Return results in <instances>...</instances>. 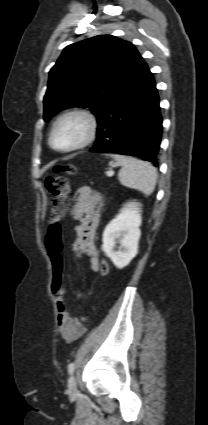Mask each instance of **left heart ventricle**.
I'll use <instances>...</instances> for the list:
<instances>
[{"label": "left heart ventricle", "mask_w": 208, "mask_h": 425, "mask_svg": "<svg viewBox=\"0 0 208 425\" xmlns=\"http://www.w3.org/2000/svg\"><path fill=\"white\" fill-rule=\"evenodd\" d=\"M85 129L86 126L82 119H67L58 126L53 143L59 148L71 146L82 139Z\"/></svg>", "instance_id": "left-heart-ventricle-1"}]
</instances>
